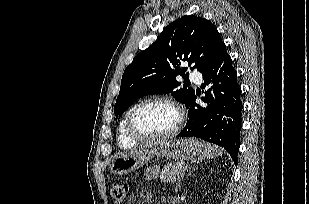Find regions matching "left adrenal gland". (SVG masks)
Instances as JSON below:
<instances>
[{
	"label": "left adrenal gland",
	"mask_w": 309,
	"mask_h": 204,
	"mask_svg": "<svg viewBox=\"0 0 309 204\" xmlns=\"http://www.w3.org/2000/svg\"><path fill=\"white\" fill-rule=\"evenodd\" d=\"M193 171H195V169H193L192 171H190L186 176L191 175V173H192ZM180 186H181V182L179 181V182L177 183V186H176V189H175L176 192L178 191V189H180Z\"/></svg>",
	"instance_id": "left-adrenal-gland-1"
}]
</instances>
